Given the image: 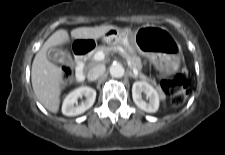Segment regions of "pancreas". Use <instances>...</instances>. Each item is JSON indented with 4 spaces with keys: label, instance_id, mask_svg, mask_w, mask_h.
Returning a JSON list of instances; mask_svg holds the SVG:
<instances>
[{
    "label": "pancreas",
    "instance_id": "pancreas-1",
    "mask_svg": "<svg viewBox=\"0 0 225 155\" xmlns=\"http://www.w3.org/2000/svg\"><path fill=\"white\" fill-rule=\"evenodd\" d=\"M98 51H102L104 53H108L110 51H117V52H120L121 54H123L126 59L130 62V65H131V68H136L138 71H139V78L142 80V81H149L151 83H153L155 85V83L148 79L142 72H141V69H142V63H141V59L140 57L137 56V54L135 52H128L121 44H113V45H110V46H99L97 47L96 49V52ZM95 52V53H96ZM157 90L160 94V97L162 100H165L166 96L164 94V92L162 91L161 88L157 87Z\"/></svg>",
    "mask_w": 225,
    "mask_h": 155
}]
</instances>
